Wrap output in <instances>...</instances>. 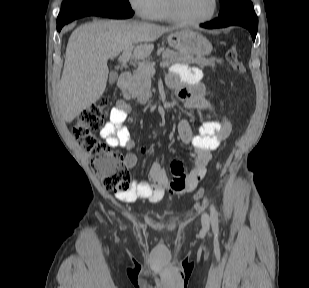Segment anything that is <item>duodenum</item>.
I'll list each match as a JSON object with an SVG mask.
<instances>
[{
	"mask_svg": "<svg viewBox=\"0 0 309 288\" xmlns=\"http://www.w3.org/2000/svg\"><path fill=\"white\" fill-rule=\"evenodd\" d=\"M131 78H132V75L128 71L122 72L118 77V81H117L118 87L120 91L122 92V94L125 96H126V88L129 82L131 81Z\"/></svg>",
	"mask_w": 309,
	"mask_h": 288,
	"instance_id": "410a0bca",
	"label": "duodenum"
}]
</instances>
